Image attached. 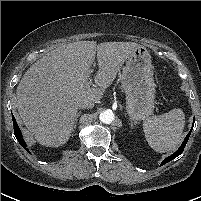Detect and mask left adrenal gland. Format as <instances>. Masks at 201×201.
<instances>
[{
  "instance_id": "1",
  "label": "left adrenal gland",
  "mask_w": 201,
  "mask_h": 201,
  "mask_svg": "<svg viewBox=\"0 0 201 201\" xmlns=\"http://www.w3.org/2000/svg\"><path fill=\"white\" fill-rule=\"evenodd\" d=\"M131 128H134V124L133 122L130 123Z\"/></svg>"
}]
</instances>
